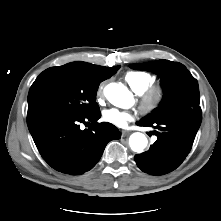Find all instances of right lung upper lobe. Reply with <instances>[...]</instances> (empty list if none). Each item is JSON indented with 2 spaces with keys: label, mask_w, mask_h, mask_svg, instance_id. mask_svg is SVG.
Returning <instances> with one entry per match:
<instances>
[{
  "label": "right lung upper lobe",
  "mask_w": 221,
  "mask_h": 221,
  "mask_svg": "<svg viewBox=\"0 0 221 221\" xmlns=\"http://www.w3.org/2000/svg\"><path fill=\"white\" fill-rule=\"evenodd\" d=\"M53 68H60V69L68 70L87 80L101 83L102 81L114 75L116 71L120 68V66L109 68V67L98 66V65H93L90 63L79 61V62L68 63L59 67H52L47 70H50Z\"/></svg>",
  "instance_id": "cb5924a9"
}]
</instances>
